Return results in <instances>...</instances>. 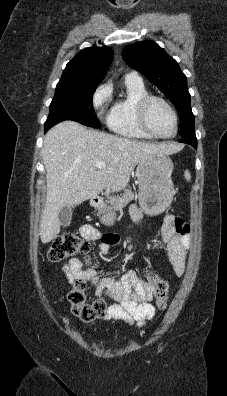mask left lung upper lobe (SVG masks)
Returning a JSON list of instances; mask_svg holds the SVG:
<instances>
[{
    "label": "left lung upper lobe",
    "instance_id": "obj_1",
    "mask_svg": "<svg viewBox=\"0 0 227 396\" xmlns=\"http://www.w3.org/2000/svg\"><path fill=\"white\" fill-rule=\"evenodd\" d=\"M124 61L144 74L174 104L180 117V135L195 131L187 79L176 60L153 41L131 44L122 52Z\"/></svg>",
    "mask_w": 227,
    "mask_h": 396
}]
</instances>
